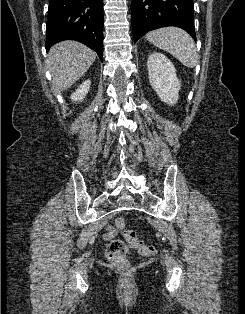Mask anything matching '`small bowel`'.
Listing matches in <instances>:
<instances>
[{
    "mask_svg": "<svg viewBox=\"0 0 245 314\" xmlns=\"http://www.w3.org/2000/svg\"><path fill=\"white\" fill-rule=\"evenodd\" d=\"M116 235V230L113 227H108L107 232L105 234V239H111Z\"/></svg>",
    "mask_w": 245,
    "mask_h": 314,
    "instance_id": "small-bowel-1",
    "label": "small bowel"
}]
</instances>
